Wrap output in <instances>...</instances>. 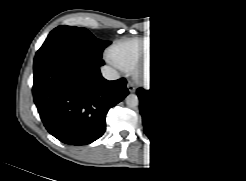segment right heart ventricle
<instances>
[{
    "instance_id": "e07e8e85",
    "label": "right heart ventricle",
    "mask_w": 246,
    "mask_h": 181,
    "mask_svg": "<svg viewBox=\"0 0 246 181\" xmlns=\"http://www.w3.org/2000/svg\"><path fill=\"white\" fill-rule=\"evenodd\" d=\"M154 40L132 42L115 48L114 53L126 66H134L139 60L147 56L157 46Z\"/></svg>"
}]
</instances>
